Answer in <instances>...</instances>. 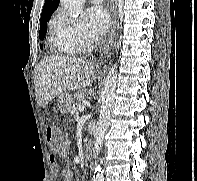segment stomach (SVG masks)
<instances>
[{
    "mask_svg": "<svg viewBox=\"0 0 197 181\" xmlns=\"http://www.w3.org/2000/svg\"><path fill=\"white\" fill-rule=\"evenodd\" d=\"M59 109L63 113H67L70 111V107L73 103V96L69 92H64L59 95L58 98Z\"/></svg>",
    "mask_w": 197,
    "mask_h": 181,
    "instance_id": "stomach-1",
    "label": "stomach"
}]
</instances>
